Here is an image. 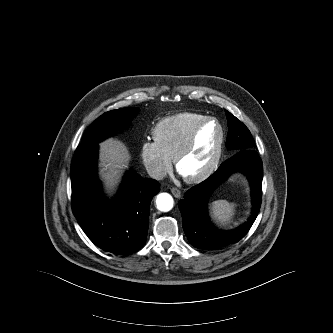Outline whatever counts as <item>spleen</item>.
I'll return each instance as SVG.
<instances>
[{"instance_id": "obj_1", "label": "spleen", "mask_w": 333, "mask_h": 333, "mask_svg": "<svg viewBox=\"0 0 333 333\" xmlns=\"http://www.w3.org/2000/svg\"><path fill=\"white\" fill-rule=\"evenodd\" d=\"M236 203H229L226 200H217L210 204V211L213 218L222 225H229L235 215Z\"/></svg>"}]
</instances>
